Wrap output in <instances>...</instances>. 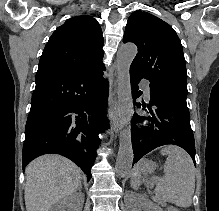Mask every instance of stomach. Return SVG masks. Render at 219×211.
I'll return each mask as SVG.
<instances>
[{
	"mask_svg": "<svg viewBox=\"0 0 219 211\" xmlns=\"http://www.w3.org/2000/svg\"><path fill=\"white\" fill-rule=\"evenodd\" d=\"M136 168L141 173L149 174L155 170L156 164L148 159H141Z\"/></svg>",
	"mask_w": 219,
	"mask_h": 211,
	"instance_id": "stomach-1",
	"label": "stomach"
}]
</instances>
